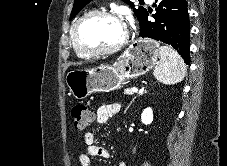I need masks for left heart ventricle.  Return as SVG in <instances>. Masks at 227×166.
<instances>
[{
	"label": "left heart ventricle",
	"instance_id": "1",
	"mask_svg": "<svg viewBox=\"0 0 227 166\" xmlns=\"http://www.w3.org/2000/svg\"><path fill=\"white\" fill-rule=\"evenodd\" d=\"M125 35L122 22L109 17H94L84 22L78 39L87 48H109L118 44Z\"/></svg>",
	"mask_w": 227,
	"mask_h": 166
}]
</instances>
